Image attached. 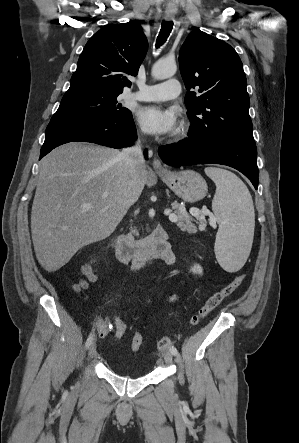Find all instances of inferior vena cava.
Returning a JSON list of instances; mask_svg holds the SVG:
<instances>
[{
	"mask_svg": "<svg viewBox=\"0 0 299 443\" xmlns=\"http://www.w3.org/2000/svg\"><path fill=\"white\" fill-rule=\"evenodd\" d=\"M120 157L124 161L130 173H134L138 168H143L145 165L139 141H137L133 146L125 148L120 153Z\"/></svg>",
	"mask_w": 299,
	"mask_h": 443,
	"instance_id": "obj_1",
	"label": "inferior vena cava"
}]
</instances>
